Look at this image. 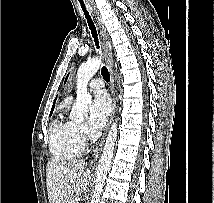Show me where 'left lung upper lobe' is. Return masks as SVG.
Returning <instances> with one entry per match:
<instances>
[{"mask_svg": "<svg viewBox=\"0 0 214 203\" xmlns=\"http://www.w3.org/2000/svg\"><path fill=\"white\" fill-rule=\"evenodd\" d=\"M67 78H68V76L66 77L65 82L67 81Z\"/></svg>", "mask_w": 214, "mask_h": 203, "instance_id": "5c2ea615", "label": "left lung upper lobe"}]
</instances>
